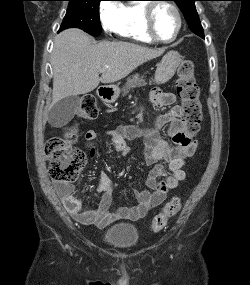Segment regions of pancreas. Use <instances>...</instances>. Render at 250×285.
<instances>
[{"instance_id": "1", "label": "pancreas", "mask_w": 250, "mask_h": 285, "mask_svg": "<svg viewBox=\"0 0 250 285\" xmlns=\"http://www.w3.org/2000/svg\"><path fill=\"white\" fill-rule=\"evenodd\" d=\"M146 85H147V82L145 81L144 77L136 73L127 78V82L124 88L122 89L123 96L126 95L130 89H133L135 87H142Z\"/></svg>"}]
</instances>
